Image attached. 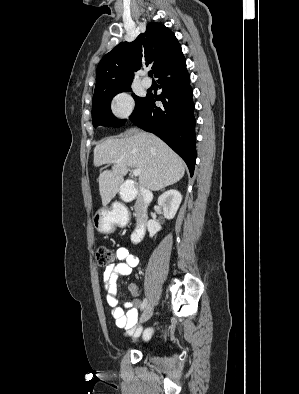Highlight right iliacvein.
<instances>
[{"instance_id": "right-iliac-vein-1", "label": "right iliac vein", "mask_w": 299, "mask_h": 394, "mask_svg": "<svg viewBox=\"0 0 299 394\" xmlns=\"http://www.w3.org/2000/svg\"><path fill=\"white\" fill-rule=\"evenodd\" d=\"M152 314H153V307H152L151 305H148V306L144 309V311H143V313H142V315H141V317H140V323H145L147 320L150 319V317L152 316Z\"/></svg>"}]
</instances>
